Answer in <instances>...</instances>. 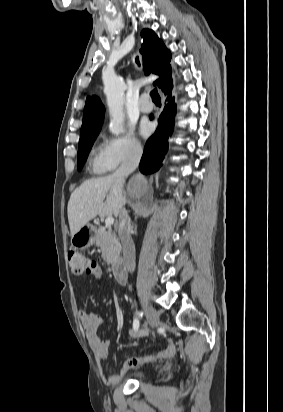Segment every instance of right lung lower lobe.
Returning a JSON list of instances; mask_svg holds the SVG:
<instances>
[{"label":"right lung lower lobe","mask_w":283,"mask_h":412,"mask_svg":"<svg viewBox=\"0 0 283 412\" xmlns=\"http://www.w3.org/2000/svg\"><path fill=\"white\" fill-rule=\"evenodd\" d=\"M172 84H167L163 91L167 95L166 105L158 119V127L155 133L146 142L139 169L148 174L157 171L162 164L164 155L168 149V137L173 132L176 105L171 97Z\"/></svg>","instance_id":"obj_1"}]
</instances>
